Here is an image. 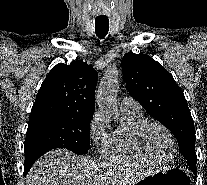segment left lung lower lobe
Returning a JSON list of instances; mask_svg holds the SVG:
<instances>
[{
  "instance_id": "obj_1",
  "label": "left lung lower lobe",
  "mask_w": 207,
  "mask_h": 185,
  "mask_svg": "<svg viewBox=\"0 0 207 185\" xmlns=\"http://www.w3.org/2000/svg\"><path fill=\"white\" fill-rule=\"evenodd\" d=\"M192 171L196 174L197 168H193Z\"/></svg>"
}]
</instances>
